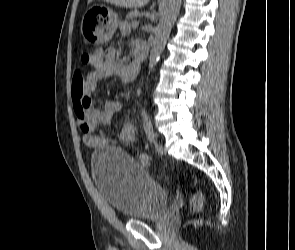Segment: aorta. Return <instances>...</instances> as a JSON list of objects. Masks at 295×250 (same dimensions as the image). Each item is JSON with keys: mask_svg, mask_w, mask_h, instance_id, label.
<instances>
[{"mask_svg": "<svg viewBox=\"0 0 295 250\" xmlns=\"http://www.w3.org/2000/svg\"><path fill=\"white\" fill-rule=\"evenodd\" d=\"M182 0H167V5L161 15L155 31L154 41L150 51L149 69L152 70L158 63L170 35L174 21L177 18Z\"/></svg>", "mask_w": 295, "mask_h": 250, "instance_id": "obj_1", "label": "aorta"}]
</instances>
